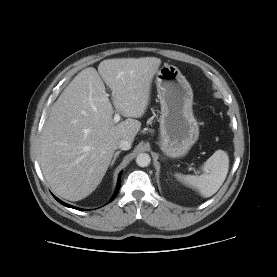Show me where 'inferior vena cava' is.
I'll return each mask as SVG.
<instances>
[{
  "instance_id": "obj_1",
  "label": "inferior vena cava",
  "mask_w": 277,
  "mask_h": 277,
  "mask_svg": "<svg viewBox=\"0 0 277 277\" xmlns=\"http://www.w3.org/2000/svg\"><path fill=\"white\" fill-rule=\"evenodd\" d=\"M117 148L121 150H129L131 148V142L122 139L117 142Z\"/></svg>"
}]
</instances>
